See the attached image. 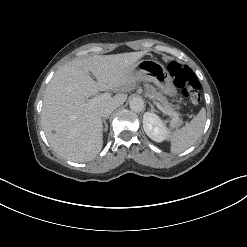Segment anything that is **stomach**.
Segmentation results:
<instances>
[{"mask_svg": "<svg viewBox=\"0 0 247 247\" xmlns=\"http://www.w3.org/2000/svg\"><path fill=\"white\" fill-rule=\"evenodd\" d=\"M129 72L136 79L142 78L153 82L166 95L171 97L177 96V89L172 77L162 64L149 59L136 60L131 63ZM176 108L179 109L180 106L177 105Z\"/></svg>", "mask_w": 247, "mask_h": 247, "instance_id": "1", "label": "stomach"}]
</instances>
